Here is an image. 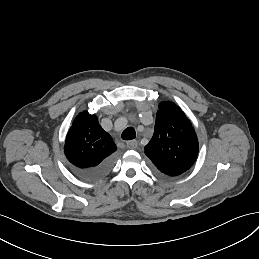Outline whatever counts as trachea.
I'll return each instance as SVG.
<instances>
[{
	"instance_id": "3493384b",
	"label": "trachea",
	"mask_w": 259,
	"mask_h": 259,
	"mask_svg": "<svg viewBox=\"0 0 259 259\" xmlns=\"http://www.w3.org/2000/svg\"><path fill=\"white\" fill-rule=\"evenodd\" d=\"M136 133L134 128L128 127L122 132V139L123 140H132L135 139Z\"/></svg>"
}]
</instances>
